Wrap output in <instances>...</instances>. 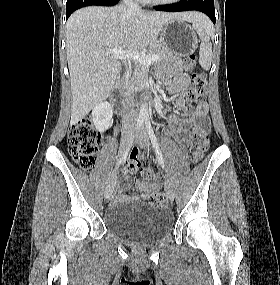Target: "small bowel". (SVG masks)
I'll return each instance as SVG.
<instances>
[{
    "mask_svg": "<svg viewBox=\"0 0 280 285\" xmlns=\"http://www.w3.org/2000/svg\"><path fill=\"white\" fill-rule=\"evenodd\" d=\"M167 85L171 91L175 94L176 104L181 110L182 115L186 118L188 123H194L196 130H210V123L207 118L208 105L206 102L199 103L193 112H190L186 107V92L190 86V79L181 72V67L176 65L172 70V79L166 81ZM171 131L181 137V142L185 145L188 141L187 135L189 132V127L179 121L172 122L170 125ZM141 163L138 159H130L126 171L129 174L135 173ZM150 169V168H149ZM128 178H124L121 182V189L115 192L112 196V199L116 203H123L129 201H140L147 199L151 194L157 192L160 188L159 182L156 180L155 175L150 181H140L136 180L134 186L138 191L137 194L130 196L124 195L122 188L128 182Z\"/></svg>",
    "mask_w": 280,
    "mask_h": 285,
    "instance_id": "small-bowel-1",
    "label": "small bowel"
}]
</instances>
